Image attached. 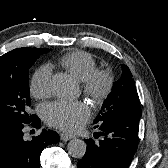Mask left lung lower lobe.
Listing matches in <instances>:
<instances>
[{
    "label": "left lung lower lobe",
    "instance_id": "left-lung-lower-lobe-1",
    "mask_svg": "<svg viewBox=\"0 0 168 168\" xmlns=\"http://www.w3.org/2000/svg\"><path fill=\"white\" fill-rule=\"evenodd\" d=\"M100 132L86 139L88 147L78 168H128L138 147L139 121L127 116L107 119L95 128ZM97 135V136H96Z\"/></svg>",
    "mask_w": 168,
    "mask_h": 168
}]
</instances>
